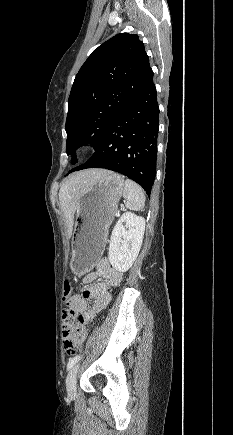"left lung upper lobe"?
Returning a JSON list of instances; mask_svg holds the SVG:
<instances>
[{
	"mask_svg": "<svg viewBox=\"0 0 233 435\" xmlns=\"http://www.w3.org/2000/svg\"><path fill=\"white\" fill-rule=\"evenodd\" d=\"M153 79L144 44L120 33L95 49L75 77L68 100L66 153L77 162L82 145L97 147L112 122Z\"/></svg>",
	"mask_w": 233,
	"mask_h": 435,
	"instance_id": "left-lung-upper-lobe-1",
	"label": "left lung upper lobe"
}]
</instances>
